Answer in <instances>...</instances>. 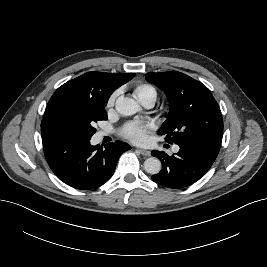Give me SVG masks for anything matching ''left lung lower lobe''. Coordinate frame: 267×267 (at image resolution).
<instances>
[{
  "label": "left lung lower lobe",
  "mask_w": 267,
  "mask_h": 267,
  "mask_svg": "<svg viewBox=\"0 0 267 267\" xmlns=\"http://www.w3.org/2000/svg\"><path fill=\"white\" fill-rule=\"evenodd\" d=\"M220 146L221 140L209 138L179 144V152L172 156L152 151L151 154L162 162V170L151 178L168 188L187 187L206 174L215 161Z\"/></svg>",
  "instance_id": "left-lung-lower-lobe-1"
}]
</instances>
